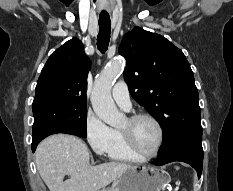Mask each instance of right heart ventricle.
Here are the masks:
<instances>
[{
  "mask_svg": "<svg viewBox=\"0 0 233 191\" xmlns=\"http://www.w3.org/2000/svg\"><path fill=\"white\" fill-rule=\"evenodd\" d=\"M113 130V143L107 152V156L110 160L138 163L144 159L133 153L127 146L120 130Z\"/></svg>",
  "mask_w": 233,
  "mask_h": 191,
  "instance_id": "obj_1",
  "label": "right heart ventricle"
}]
</instances>
